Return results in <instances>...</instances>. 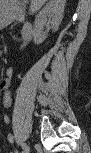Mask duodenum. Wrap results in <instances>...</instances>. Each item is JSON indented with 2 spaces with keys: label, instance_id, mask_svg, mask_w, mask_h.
<instances>
[{
  "label": "duodenum",
  "instance_id": "410a0bca",
  "mask_svg": "<svg viewBox=\"0 0 91 153\" xmlns=\"http://www.w3.org/2000/svg\"><path fill=\"white\" fill-rule=\"evenodd\" d=\"M11 18H16L22 22V28L20 31V44L21 47H25L31 40L33 34L32 25L24 18L23 13L20 10H15L10 14Z\"/></svg>",
  "mask_w": 91,
  "mask_h": 153
}]
</instances>
